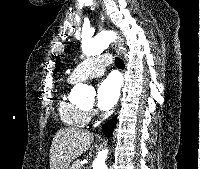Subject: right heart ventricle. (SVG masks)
Returning <instances> with one entry per match:
<instances>
[{
  "mask_svg": "<svg viewBox=\"0 0 200 169\" xmlns=\"http://www.w3.org/2000/svg\"><path fill=\"white\" fill-rule=\"evenodd\" d=\"M69 83H72L68 79ZM58 112L63 123L70 127H84L90 120L88 110L69 102L63 96L58 103Z\"/></svg>",
  "mask_w": 200,
  "mask_h": 169,
  "instance_id": "e07e8e85",
  "label": "right heart ventricle"
}]
</instances>
